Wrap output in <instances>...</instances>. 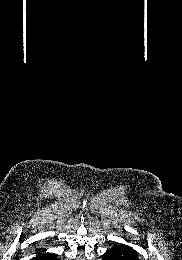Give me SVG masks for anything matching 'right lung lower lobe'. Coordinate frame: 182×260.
Masks as SVG:
<instances>
[{
    "label": "right lung lower lobe",
    "instance_id": "right-lung-lower-lobe-1",
    "mask_svg": "<svg viewBox=\"0 0 182 260\" xmlns=\"http://www.w3.org/2000/svg\"><path fill=\"white\" fill-rule=\"evenodd\" d=\"M33 260H58L55 254H39Z\"/></svg>",
    "mask_w": 182,
    "mask_h": 260
}]
</instances>
